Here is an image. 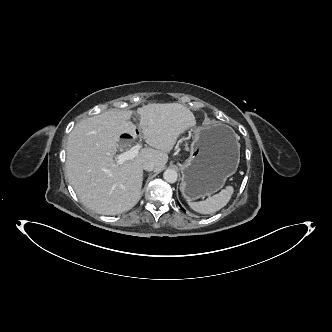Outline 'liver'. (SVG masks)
Instances as JSON below:
<instances>
[{
	"label": "liver",
	"instance_id": "6515ba94",
	"mask_svg": "<svg viewBox=\"0 0 332 332\" xmlns=\"http://www.w3.org/2000/svg\"><path fill=\"white\" fill-rule=\"evenodd\" d=\"M139 130L150 146L131 160L114 159L120 135L132 133V111L111 110L87 118L71 131L66 147V173L84 205L103 215H115L138 202L143 164L152 161L161 171L180 134L195 127L194 114L179 103H152L137 109Z\"/></svg>",
	"mask_w": 332,
	"mask_h": 332
}]
</instances>
